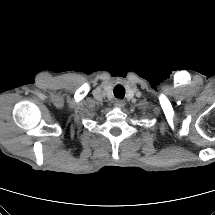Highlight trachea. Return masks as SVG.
<instances>
[{
  "instance_id": "3493384b",
  "label": "trachea",
  "mask_w": 215,
  "mask_h": 215,
  "mask_svg": "<svg viewBox=\"0 0 215 215\" xmlns=\"http://www.w3.org/2000/svg\"><path fill=\"white\" fill-rule=\"evenodd\" d=\"M114 95L116 98L123 99L125 96V88L122 85H117L114 88Z\"/></svg>"
}]
</instances>
